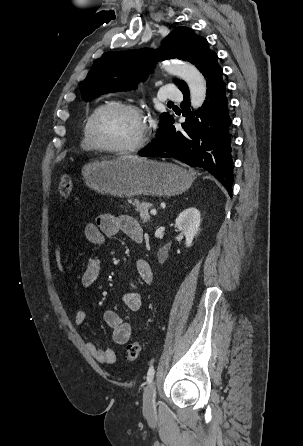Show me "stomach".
I'll return each instance as SVG.
<instances>
[{
	"instance_id": "1",
	"label": "stomach",
	"mask_w": 303,
	"mask_h": 446,
	"mask_svg": "<svg viewBox=\"0 0 303 446\" xmlns=\"http://www.w3.org/2000/svg\"><path fill=\"white\" fill-rule=\"evenodd\" d=\"M82 175L90 189L118 197L178 195L193 181L187 170L175 164L123 157L90 162Z\"/></svg>"
}]
</instances>
